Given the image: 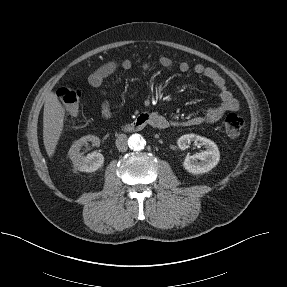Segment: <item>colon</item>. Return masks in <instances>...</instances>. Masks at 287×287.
I'll list each match as a JSON object with an SVG mask.
<instances>
[{
	"label": "colon",
	"instance_id": "obj_1",
	"mask_svg": "<svg viewBox=\"0 0 287 287\" xmlns=\"http://www.w3.org/2000/svg\"><path fill=\"white\" fill-rule=\"evenodd\" d=\"M57 96L70 115L77 114L81 98L79 89L72 85H64L58 89ZM223 124L226 134L230 137H236L244 126V119L241 115L231 112L225 116Z\"/></svg>",
	"mask_w": 287,
	"mask_h": 287
}]
</instances>
